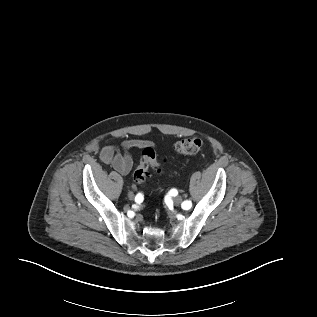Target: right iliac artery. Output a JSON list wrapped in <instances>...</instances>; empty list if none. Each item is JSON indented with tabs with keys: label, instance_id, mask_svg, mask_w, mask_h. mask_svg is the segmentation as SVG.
Wrapping results in <instances>:
<instances>
[{
	"label": "right iliac artery",
	"instance_id": "82829eb1",
	"mask_svg": "<svg viewBox=\"0 0 317 317\" xmlns=\"http://www.w3.org/2000/svg\"><path fill=\"white\" fill-rule=\"evenodd\" d=\"M144 197L141 193H138L136 196H135V201L137 203H141L143 201Z\"/></svg>",
	"mask_w": 317,
	"mask_h": 317
}]
</instances>
